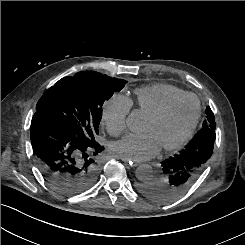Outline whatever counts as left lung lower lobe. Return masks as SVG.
I'll return each instance as SVG.
<instances>
[{"label": "left lung lower lobe", "mask_w": 245, "mask_h": 245, "mask_svg": "<svg viewBox=\"0 0 245 245\" xmlns=\"http://www.w3.org/2000/svg\"><path fill=\"white\" fill-rule=\"evenodd\" d=\"M215 129L200 130L185 149L161 162L160 174L140 187L148 198L170 201L185 192L205 169L214 149Z\"/></svg>", "instance_id": "obj_1"}]
</instances>
